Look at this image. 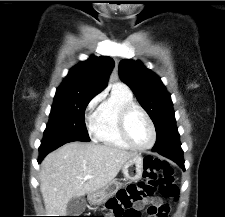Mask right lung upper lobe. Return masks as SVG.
I'll return each mask as SVG.
<instances>
[{"label":"right lung upper lobe","instance_id":"1","mask_svg":"<svg viewBox=\"0 0 225 217\" xmlns=\"http://www.w3.org/2000/svg\"><path fill=\"white\" fill-rule=\"evenodd\" d=\"M113 67L112 58L91 56L70 69L56 95L96 96L107 86Z\"/></svg>","mask_w":225,"mask_h":217}]
</instances>
